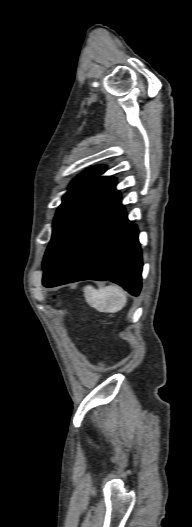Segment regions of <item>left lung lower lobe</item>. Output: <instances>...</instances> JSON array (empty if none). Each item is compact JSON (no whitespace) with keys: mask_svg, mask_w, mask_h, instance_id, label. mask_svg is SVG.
<instances>
[{"mask_svg":"<svg viewBox=\"0 0 192 527\" xmlns=\"http://www.w3.org/2000/svg\"><path fill=\"white\" fill-rule=\"evenodd\" d=\"M138 229L113 190L75 233L43 277L47 288L81 280H110L130 294L141 289Z\"/></svg>","mask_w":192,"mask_h":527,"instance_id":"left-lung-lower-lobe-1","label":"left lung lower lobe"}]
</instances>
